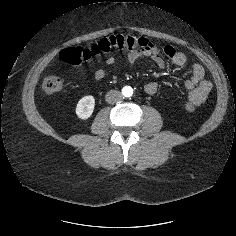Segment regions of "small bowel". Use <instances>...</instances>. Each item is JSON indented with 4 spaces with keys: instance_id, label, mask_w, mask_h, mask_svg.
Here are the masks:
<instances>
[{
    "instance_id": "1",
    "label": "small bowel",
    "mask_w": 236,
    "mask_h": 236,
    "mask_svg": "<svg viewBox=\"0 0 236 236\" xmlns=\"http://www.w3.org/2000/svg\"><path fill=\"white\" fill-rule=\"evenodd\" d=\"M162 53L170 60L172 65L182 67L187 63V57L184 53L177 51L173 46L167 45L162 49ZM150 58L159 68L165 67V61L160 56V50L152 43H149L147 48L140 51H130L125 58V63L128 67H133L139 59ZM118 59L110 56L106 59L108 67L114 66ZM107 76V71L104 69H97L93 73L95 81H100ZM158 85L156 82H148L144 86L147 94L153 95L156 93ZM182 90L188 92L189 103L194 106L203 104L208 98L212 90V82L205 78V69L200 64H194L191 69V77L185 81Z\"/></svg>"
}]
</instances>
